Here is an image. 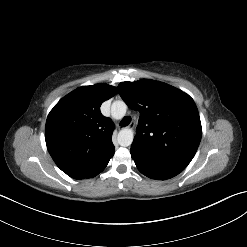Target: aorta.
Segmentation results:
<instances>
[{"instance_id": "1", "label": "aorta", "mask_w": 247, "mask_h": 247, "mask_svg": "<svg viewBox=\"0 0 247 247\" xmlns=\"http://www.w3.org/2000/svg\"><path fill=\"white\" fill-rule=\"evenodd\" d=\"M127 111V105L121 101H114L111 106V115L114 119H122ZM134 139V132L132 129L124 128L118 133L117 140L120 146H130Z\"/></svg>"}]
</instances>
